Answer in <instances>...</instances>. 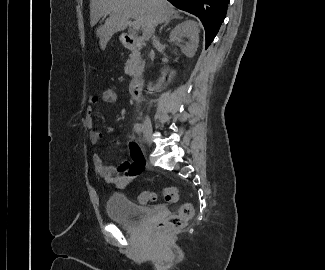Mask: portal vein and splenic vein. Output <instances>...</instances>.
<instances>
[{
	"mask_svg": "<svg viewBox=\"0 0 325 270\" xmlns=\"http://www.w3.org/2000/svg\"><path fill=\"white\" fill-rule=\"evenodd\" d=\"M128 18H130V17L128 16ZM131 27L134 30H139L140 29V25H139L138 21H136V20H134V21L131 22Z\"/></svg>",
	"mask_w": 325,
	"mask_h": 270,
	"instance_id": "1",
	"label": "portal vein and splenic vein"
}]
</instances>
